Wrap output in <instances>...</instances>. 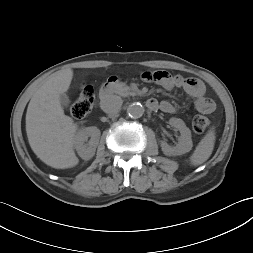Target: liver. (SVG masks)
Returning <instances> with one entry per match:
<instances>
[{
  "label": "liver",
  "instance_id": "liver-1",
  "mask_svg": "<svg viewBox=\"0 0 253 253\" xmlns=\"http://www.w3.org/2000/svg\"><path fill=\"white\" fill-rule=\"evenodd\" d=\"M71 69L53 73L32 96L26 113V133L31 149L48 166L72 168L79 163L74 152L78 125L64 114L59 96L69 89Z\"/></svg>",
  "mask_w": 253,
  "mask_h": 253
}]
</instances>
